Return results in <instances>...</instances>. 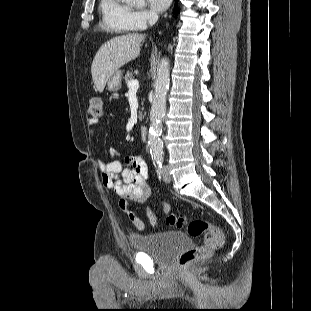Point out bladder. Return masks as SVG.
I'll use <instances>...</instances> for the list:
<instances>
[{"label":"bladder","mask_w":311,"mask_h":311,"mask_svg":"<svg viewBox=\"0 0 311 311\" xmlns=\"http://www.w3.org/2000/svg\"><path fill=\"white\" fill-rule=\"evenodd\" d=\"M129 240L135 251L152 254L161 262L172 261L191 244L189 237L180 231L135 233Z\"/></svg>","instance_id":"1"}]
</instances>
